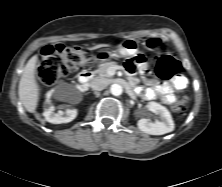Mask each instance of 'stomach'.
<instances>
[{
  "label": "stomach",
  "instance_id": "1",
  "mask_svg": "<svg viewBox=\"0 0 222 187\" xmlns=\"http://www.w3.org/2000/svg\"><path fill=\"white\" fill-rule=\"evenodd\" d=\"M165 39L160 35H152L147 39V46L151 49L159 48ZM139 50V42L134 38H127L120 43L114 52L102 50L97 57L101 60H106L113 57H128L135 55Z\"/></svg>",
  "mask_w": 222,
  "mask_h": 187
}]
</instances>
